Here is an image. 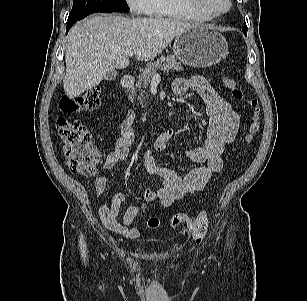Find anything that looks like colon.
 Returning a JSON list of instances; mask_svg holds the SVG:
<instances>
[{
  "mask_svg": "<svg viewBox=\"0 0 307 301\" xmlns=\"http://www.w3.org/2000/svg\"><path fill=\"white\" fill-rule=\"evenodd\" d=\"M223 86L230 91L231 96L238 101H245L252 109L246 140L251 142L261 125V113L258 102L254 98H247L243 88L229 76L222 78ZM101 101L100 89L97 87L88 89L74 98H64L60 109L64 113H76L91 111L99 107ZM57 129L63 144L64 154L68 159L69 169L76 174L92 176L96 173L97 165L101 161V153L95 146L90 131L76 120L59 117ZM208 223V213L203 210L195 221H191L184 213H176L170 218V226L177 229L182 225H188L194 237L202 236ZM158 218H150L148 226L158 228Z\"/></svg>",
  "mask_w": 307,
  "mask_h": 301,
  "instance_id": "1",
  "label": "colon"
}]
</instances>
